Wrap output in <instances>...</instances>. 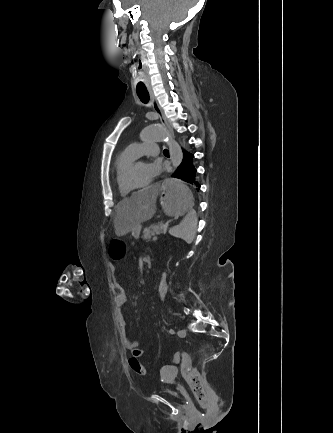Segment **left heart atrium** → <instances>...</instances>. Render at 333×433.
Returning a JSON list of instances; mask_svg holds the SVG:
<instances>
[{
  "instance_id": "obj_1",
  "label": "left heart atrium",
  "mask_w": 333,
  "mask_h": 433,
  "mask_svg": "<svg viewBox=\"0 0 333 433\" xmlns=\"http://www.w3.org/2000/svg\"><path fill=\"white\" fill-rule=\"evenodd\" d=\"M161 171V166L158 161H153L148 165V180H152Z\"/></svg>"
}]
</instances>
